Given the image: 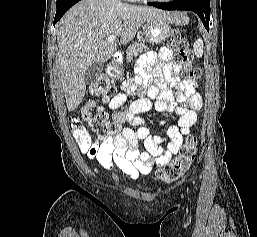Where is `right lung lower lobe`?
<instances>
[{"instance_id": "1", "label": "right lung lower lobe", "mask_w": 257, "mask_h": 237, "mask_svg": "<svg viewBox=\"0 0 257 237\" xmlns=\"http://www.w3.org/2000/svg\"><path fill=\"white\" fill-rule=\"evenodd\" d=\"M78 1L80 0H68L60 5H56L57 11L54 18V26L61 19L64 13Z\"/></svg>"}]
</instances>
